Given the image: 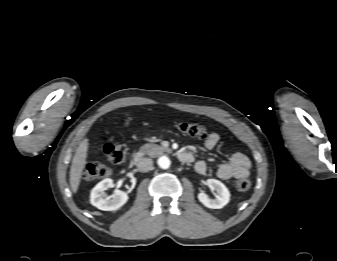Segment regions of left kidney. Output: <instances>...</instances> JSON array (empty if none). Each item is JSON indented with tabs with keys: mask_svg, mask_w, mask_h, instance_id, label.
<instances>
[{
	"mask_svg": "<svg viewBox=\"0 0 337 261\" xmlns=\"http://www.w3.org/2000/svg\"><path fill=\"white\" fill-rule=\"evenodd\" d=\"M206 185L214 189L217 194L215 198H210L204 192L198 194L199 201L206 207L211 209H220L230 201V192L228 188L219 180L208 179Z\"/></svg>",
	"mask_w": 337,
	"mask_h": 261,
	"instance_id": "5707ae66",
	"label": "left kidney"
}]
</instances>
